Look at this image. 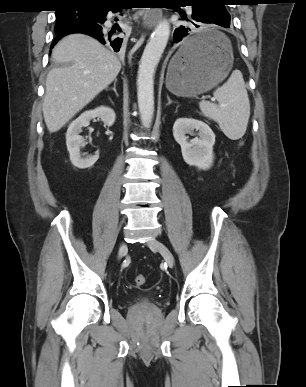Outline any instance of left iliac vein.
Wrapping results in <instances>:
<instances>
[{
  "instance_id": "left-iliac-vein-1",
  "label": "left iliac vein",
  "mask_w": 306,
  "mask_h": 387,
  "mask_svg": "<svg viewBox=\"0 0 306 387\" xmlns=\"http://www.w3.org/2000/svg\"><path fill=\"white\" fill-rule=\"evenodd\" d=\"M147 245L156 251H158L164 258V260L167 262L169 266L174 265V257L171 253V251L160 241L156 239H151L147 242Z\"/></svg>"
}]
</instances>
